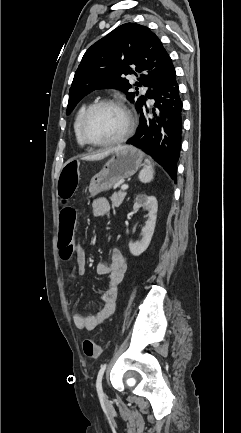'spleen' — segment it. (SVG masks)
I'll return each mask as SVG.
<instances>
[{
	"mask_svg": "<svg viewBox=\"0 0 241 433\" xmlns=\"http://www.w3.org/2000/svg\"><path fill=\"white\" fill-rule=\"evenodd\" d=\"M145 163L147 166L140 171L138 177L142 183H149L154 178V169L149 159H145Z\"/></svg>",
	"mask_w": 241,
	"mask_h": 433,
	"instance_id": "spleen-1",
	"label": "spleen"
}]
</instances>
